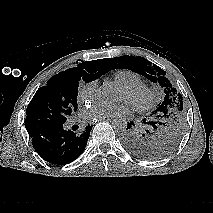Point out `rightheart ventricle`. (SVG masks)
<instances>
[{
	"mask_svg": "<svg viewBox=\"0 0 213 213\" xmlns=\"http://www.w3.org/2000/svg\"><path fill=\"white\" fill-rule=\"evenodd\" d=\"M113 78L114 81L122 88L133 86L142 82V78L138 73L128 69L116 71Z\"/></svg>",
	"mask_w": 213,
	"mask_h": 213,
	"instance_id": "obj_1",
	"label": "right heart ventricle"
}]
</instances>
